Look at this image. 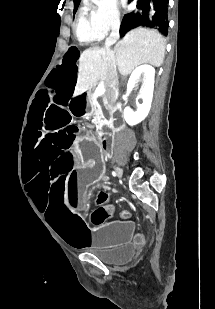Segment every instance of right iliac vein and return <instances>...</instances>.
Masks as SVG:
<instances>
[{"instance_id": "obj_1", "label": "right iliac vein", "mask_w": 215, "mask_h": 309, "mask_svg": "<svg viewBox=\"0 0 215 309\" xmlns=\"http://www.w3.org/2000/svg\"><path fill=\"white\" fill-rule=\"evenodd\" d=\"M116 174H117V176H118L119 178L122 177V171H121V169H120L119 167H116Z\"/></svg>"}]
</instances>
